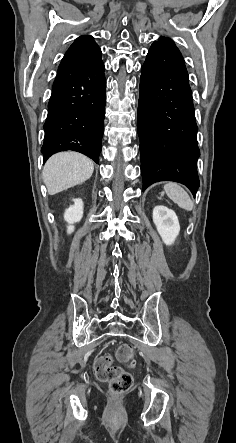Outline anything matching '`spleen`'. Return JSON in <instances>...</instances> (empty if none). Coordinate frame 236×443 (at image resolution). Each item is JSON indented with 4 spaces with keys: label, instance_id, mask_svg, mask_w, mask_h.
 I'll use <instances>...</instances> for the list:
<instances>
[{
    "label": "spleen",
    "instance_id": "3e777b00",
    "mask_svg": "<svg viewBox=\"0 0 236 443\" xmlns=\"http://www.w3.org/2000/svg\"><path fill=\"white\" fill-rule=\"evenodd\" d=\"M164 193L176 203L180 208L192 211L193 210V202L188 195V193L177 183L169 182L164 185V191L161 193L163 196Z\"/></svg>",
    "mask_w": 236,
    "mask_h": 443
}]
</instances>
